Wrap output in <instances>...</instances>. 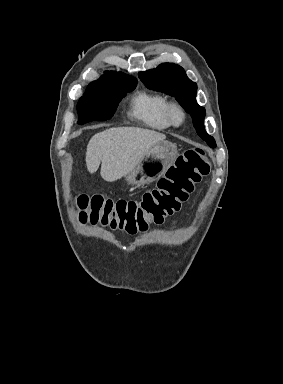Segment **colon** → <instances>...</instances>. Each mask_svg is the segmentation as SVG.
Wrapping results in <instances>:
<instances>
[{
  "label": "colon",
  "instance_id": "5ec220e1",
  "mask_svg": "<svg viewBox=\"0 0 283 384\" xmlns=\"http://www.w3.org/2000/svg\"><path fill=\"white\" fill-rule=\"evenodd\" d=\"M211 164L201 148L182 153L155 188L139 200L109 199L100 195H80L77 205L82 222L101 223L130 234L159 224L178 211L196 183L207 175Z\"/></svg>",
  "mask_w": 283,
  "mask_h": 384
}]
</instances>
